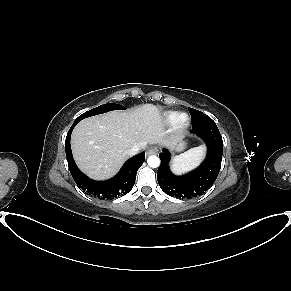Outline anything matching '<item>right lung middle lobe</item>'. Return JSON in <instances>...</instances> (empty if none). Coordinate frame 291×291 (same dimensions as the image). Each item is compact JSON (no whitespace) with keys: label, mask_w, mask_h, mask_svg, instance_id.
I'll return each instance as SVG.
<instances>
[{"label":"right lung middle lobe","mask_w":291,"mask_h":291,"mask_svg":"<svg viewBox=\"0 0 291 291\" xmlns=\"http://www.w3.org/2000/svg\"><path fill=\"white\" fill-rule=\"evenodd\" d=\"M125 107L119 105V104H115V103H109V104H104L101 105L99 107H96L92 110H89L85 113H83L82 115H80L78 118H76L75 122H79L80 120L90 117V116H94L97 114H102L111 110H124Z\"/></svg>","instance_id":"obj_1"}]
</instances>
